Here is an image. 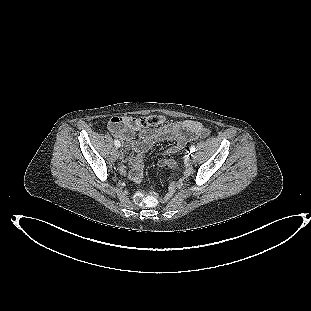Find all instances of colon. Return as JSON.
<instances>
[{
	"label": "colon",
	"instance_id": "obj_1",
	"mask_svg": "<svg viewBox=\"0 0 311 311\" xmlns=\"http://www.w3.org/2000/svg\"><path fill=\"white\" fill-rule=\"evenodd\" d=\"M164 121V117L158 114L149 115L147 117H143L140 119V124L143 127H155L162 124ZM119 126L118 122L114 123V127L117 128ZM167 166L175 167L174 163H169ZM135 201L139 206L143 207H154L159 204L160 198L157 194L149 192L143 193L140 192L136 195Z\"/></svg>",
	"mask_w": 311,
	"mask_h": 311
}]
</instances>
